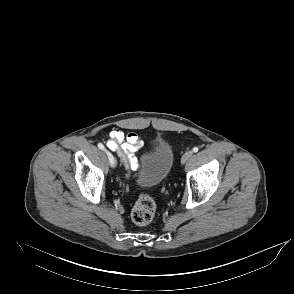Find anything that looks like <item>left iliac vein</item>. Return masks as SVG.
Segmentation results:
<instances>
[{
	"mask_svg": "<svg viewBox=\"0 0 294 294\" xmlns=\"http://www.w3.org/2000/svg\"><path fill=\"white\" fill-rule=\"evenodd\" d=\"M193 156V151L189 150L184 153V155L181 158V163H186L191 157Z\"/></svg>",
	"mask_w": 294,
	"mask_h": 294,
	"instance_id": "obj_1",
	"label": "left iliac vein"
}]
</instances>
